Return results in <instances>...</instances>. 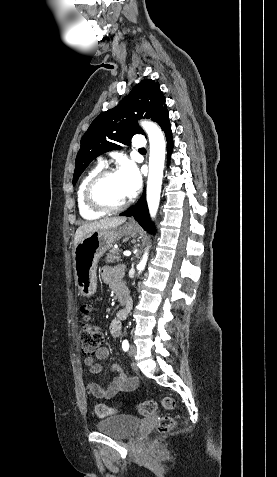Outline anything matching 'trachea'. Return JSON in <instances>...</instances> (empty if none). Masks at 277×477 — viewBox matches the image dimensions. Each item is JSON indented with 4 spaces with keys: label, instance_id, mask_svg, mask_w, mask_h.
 Here are the masks:
<instances>
[{
    "label": "trachea",
    "instance_id": "obj_1",
    "mask_svg": "<svg viewBox=\"0 0 277 477\" xmlns=\"http://www.w3.org/2000/svg\"><path fill=\"white\" fill-rule=\"evenodd\" d=\"M139 151H140V152H144V151H146V149H145V148H141V149H139Z\"/></svg>",
    "mask_w": 277,
    "mask_h": 477
}]
</instances>
